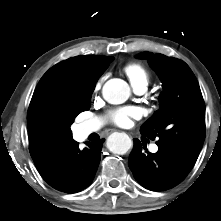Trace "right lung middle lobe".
I'll return each instance as SVG.
<instances>
[{"mask_svg": "<svg viewBox=\"0 0 221 221\" xmlns=\"http://www.w3.org/2000/svg\"><path fill=\"white\" fill-rule=\"evenodd\" d=\"M97 80L98 77L87 85L81 93L74 95L68 101L65 108V116L68 123L66 128H62L55 122H46L43 125L41 134L46 140L55 141L62 136L70 137L72 135L70 125L80 112L89 110L92 92L95 88Z\"/></svg>", "mask_w": 221, "mask_h": 221, "instance_id": "obj_1", "label": "right lung middle lobe"}]
</instances>
